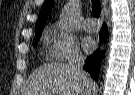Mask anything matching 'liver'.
<instances>
[{"label": "liver", "instance_id": "6515ba94", "mask_svg": "<svg viewBox=\"0 0 135 95\" xmlns=\"http://www.w3.org/2000/svg\"><path fill=\"white\" fill-rule=\"evenodd\" d=\"M94 82L89 78L88 87L69 64H48L35 71L25 88V95H84L91 93Z\"/></svg>", "mask_w": 135, "mask_h": 95}]
</instances>
